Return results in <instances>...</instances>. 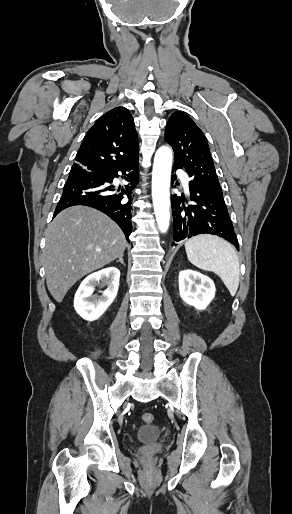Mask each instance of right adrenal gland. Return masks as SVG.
<instances>
[{
  "instance_id": "1",
  "label": "right adrenal gland",
  "mask_w": 292,
  "mask_h": 514,
  "mask_svg": "<svg viewBox=\"0 0 292 514\" xmlns=\"http://www.w3.org/2000/svg\"><path fill=\"white\" fill-rule=\"evenodd\" d=\"M116 262H120V264H123V266H125L123 256H120L119 260H116Z\"/></svg>"
}]
</instances>
